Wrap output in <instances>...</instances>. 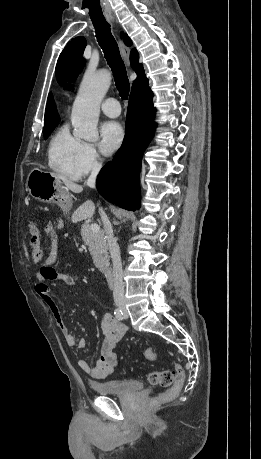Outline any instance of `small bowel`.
Instances as JSON below:
<instances>
[{
	"label": "small bowel",
	"mask_w": 261,
	"mask_h": 459,
	"mask_svg": "<svg viewBox=\"0 0 261 459\" xmlns=\"http://www.w3.org/2000/svg\"><path fill=\"white\" fill-rule=\"evenodd\" d=\"M61 226V222L52 221L45 226V231L52 234L55 229L61 228ZM52 260L53 258L49 257L39 268L37 277L38 282L35 285V291L48 307L67 344L71 347L85 348L87 345L86 340L84 338H76V336L70 332L55 300L50 294L49 288V282L59 281L69 286H76L77 282L74 277L57 272L51 266ZM101 328L104 339L100 349V356L95 365H92L85 358L78 361L79 367L95 379H103L113 373L117 364L115 348L126 332V326L111 313H106L103 316Z\"/></svg>",
	"instance_id": "c3829d8e"
}]
</instances>
